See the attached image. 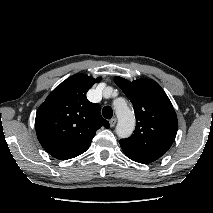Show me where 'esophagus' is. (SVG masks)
<instances>
[{
    "label": "esophagus",
    "instance_id": "esophagus-1",
    "mask_svg": "<svg viewBox=\"0 0 213 213\" xmlns=\"http://www.w3.org/2000/svg\"><path fill=\"white\" fill-rule=\"evenodd\" d=\"M116 122H117V119H116V118H112V119L109 121L110 126H111V127H114L115 124H116Z\"/></svg>",
    "mask_w": 213,
    "mask_h": 213
}]
</instances>
